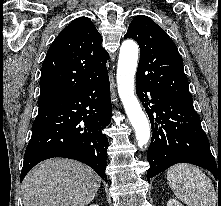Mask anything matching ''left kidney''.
I'll use <instances>...</instances> for the list:
<instances>
[{
  "label": "left kidney",
  "mask_w": 221,
  "mask_h": 206,
  "mask_svg": "<svg viewBox=\"0 0 221 206\" xmlns=\"http://www.w3.org/2000/svg\"><path fill=\"white\" fill-rule=\"evenodd\" d=\"M167 206H184L176 199H170L167 203Z\"/></svg>",
  "instance_id": "left-kidney-1"
}]
</instances>
